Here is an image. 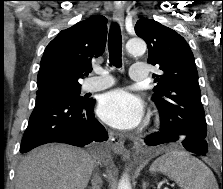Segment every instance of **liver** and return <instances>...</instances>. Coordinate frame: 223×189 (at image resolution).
Masks as SVG:
<instances>
[{
  "instance_id": "6515ba94",
  "label": "liver",
  "mask_w": 223,
  "mask_h": 189,
  "mask_svg": "<svg viewBox=\"0 0 223 189\" xmlns=\"http://www.w3.org/2000/svg\"><path fill=\"white\" fill-rule=\"evenodd\" d=\"M94 165L85 150L64 144L42 146L20 162L15 189H85Z\"/></svg>"
}]
</instances>
